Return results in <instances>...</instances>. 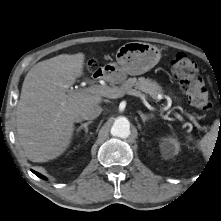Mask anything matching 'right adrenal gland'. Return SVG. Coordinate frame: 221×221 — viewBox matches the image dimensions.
Instances as JSON below:
<instances>
[{"mask_svg": "<svg viewBox=\"0 0 221 221\" xmlns=\"http://www.w3.org/2000/svg\"><path fill=\"white\" fill-rule=\"evenodd\" d=\"M77 122H79V121L77 120ZM91 123H92V121H88V122H86V123H82V124L76 129V131L79 132V131H81L82 129H84L85 133L87 134V133H88V125L91 124Z\"/></svg>", "mask_w": 221, "mask_h": 221, "instance_id": "2a0ac1e0", "label": "right adrenal gland"}]
</instances>
